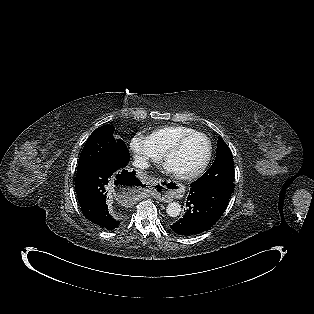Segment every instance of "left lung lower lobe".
Masks as SVG:
<instances>
[{
	"label": "left lung lower lobe",
	"instance_id": "obj_1",
	"mask_svg": "<svg viewBox=\"0 0 314 314\" xmlns=\"http://www.w3.org/2000/svg\"><path fill=\"white\" fill-rule=\"evenodd\" d=\"M234 184H191L184 217L170 225L179 235L208 231L223 215Z\"/></svg>",
	"mask_w": 314,
	"mask_h": 314
}]
</instances>
